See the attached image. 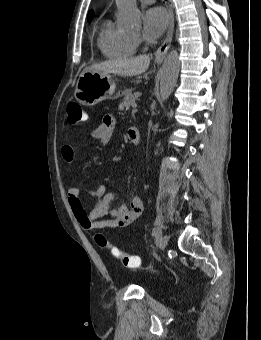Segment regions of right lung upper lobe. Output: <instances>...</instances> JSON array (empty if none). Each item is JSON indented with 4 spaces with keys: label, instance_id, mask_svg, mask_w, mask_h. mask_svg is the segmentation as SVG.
<instances>
[{
    "label": "right lung upper lobe",
    "instance_id": "1",
    "mask_svg": "<svg viewBox=\"0 0 261 340\" xmlns=\"http://www.w3.org/2000/svg\"><path fill=\"white\" fill-rule=\"evenodd\" d=\"M92 17H93V12L91 11V12L89 13V16H88V21H90Z\"/></svg>",
    "mask_w": 261,
    "mask_h": 340
}]
</instances>
